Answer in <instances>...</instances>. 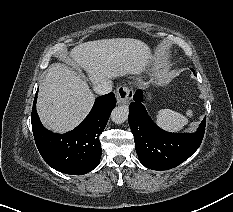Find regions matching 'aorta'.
Returning a JSON list of instances; mask_svg holds the SVG:
<instances>
[{
	"label": "aorta",
	"instance_id": "aorta-1",
	"mask_svg": "<svg viewBox=\"0 0 233 212\" xmlns=\"http://www.w3.org/2000/svg\"><path fill=\"white\" fill-rule=\"evenodd\" d=\"M128 118V108L125 106L115 107L111 113V119L116 124L125 122Z\"/></svg>",
	"mask_w": 233,
	"mask_h": 212
}]
</instances>
